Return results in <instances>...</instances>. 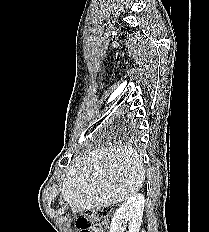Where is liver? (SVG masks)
Instances as JSON below:
<instances>
[{
    "instance_id": "6515ba94",
    "label": "liver",
    "mask_w": 209,
    "mask_h": 232,
    "mask_svg": "<svg viewBox=\"0 0 209 232\" xmlns=\"http://www.w3.org/2000/svg\"><path fill=\"white\" fill-rule=\"evenodd\" d=\"M145 181L143 159L132 147L88 149L66 174L63 199L74 213L126 201Z\"/></svg>"
}]
</instances>
